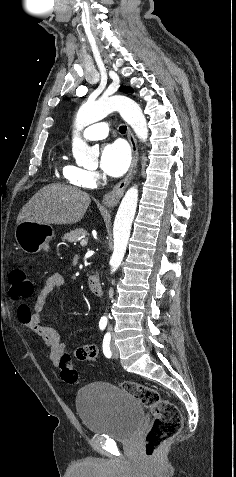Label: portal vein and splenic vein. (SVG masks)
I'll list each match as a JSON object with an SVG mask.
<instances>
[{"label": "portal vein and splenic vein", "mask_w": 236, "mask_h": 477, "mask_svg": "<svg viewBox=\"0 0 236 477\" xmlns=\"http://www.w3.org/2000/svg\"><path fill=\"white\" fill-rule=\"evenodd\" d=\"M80 244H81V246H86V245H87V241L83 239V240H81Z\"/></svg>", "instance_id": "1"}]
</instances>
